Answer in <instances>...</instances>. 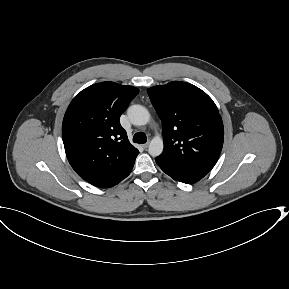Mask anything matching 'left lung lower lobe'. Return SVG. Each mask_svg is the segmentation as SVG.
I'll return each instance as SVG.
<instances>
[{
	"instance_id": "1",
	"label": "left lung lower lobe",
	"mask_w": 289,
	"mask_h": 289,
	"mask_svg": "<svg viewBox=\"0 0 289 289\" xmlns=\"http://www.w3.org/2000/svg\"><path fill=\"white\" fill-rule=\"evenodd\" d=\"M161 169L166 174H168L170 177H172L174 180L180 181L182 183H187V184L195 183L205 176V175H201V174H192V173H187V172H183V171H167L163 168H161Z\"/></svg>"
}]
</instances>
